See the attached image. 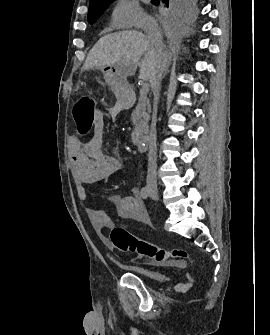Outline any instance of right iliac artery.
Listing matches in <instances>:
<instances>
[{
  "label": "right iliac artery",
  "mask_w": 270,
  "mask_h": 335,
  "mask_svg": "<svg viewBox=\"0 0 270 335\" xmlns=\"http://www.w3.org/2000/svg\"><path fill=\"white\" fill-rule=\"evenodd\" d=\"M141 197L143 198V199H147L148 197H149V190H148V188L147 187H143L142 189H141Z\"/></svg>",
  "instance_id": "obj_1"
}]
</instances>
